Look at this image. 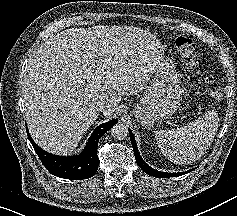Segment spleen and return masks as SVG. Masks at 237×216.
<instances>
[{"label": "spleen", "mask_w": 237, "mask_h": 216, "mask_svg": "<svg viewBox=\"0 0 237 216\" xmlns=\"http://www.w3.org/2000/svg\"><path fill=\"white\" fill-rule=\"evenodd\" d=\"M216 125L210 122L208 112L185 126L170 130H154L161 153L174 162H191L201 156L212 143Z\"/></svg>", "instance_id": "3e777b00"}]
</instances>
